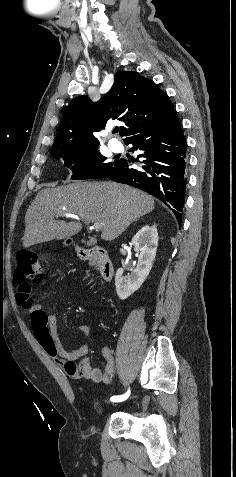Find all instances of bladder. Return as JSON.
I'll use <instances>...</instances> for the list:
<instances>
[{
	"mask_svg": "<svg viewBox=\"0 0 236 477\" xmlns=\"http://www.w3.org/2000/svg\"><path fill=\"white\" fill-rule=\"evenodd\" d=\"M95 403H96V414L97 416H101L102 413H103V408H102V404H101V400L96 398L95 399Z\"/></svg>",
	"mask_w": 236,
	"mask_h": 477,
	"instance_id": "obj_1",
	"label": "bladder"
}]
</instances>
